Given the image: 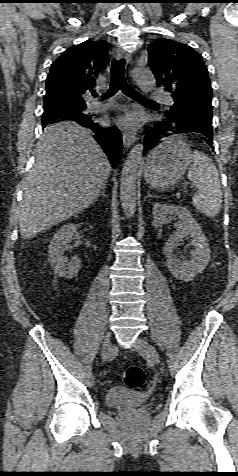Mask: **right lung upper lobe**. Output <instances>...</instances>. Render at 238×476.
<instances>
[{
	"label": "right lung upper lobe",
	"instance_id": "1",
	"mask_svg": "<svg viewBox=\"0 0 238 476\" xmlns=\"http://www.w3.org/2000/svg\"><path fill=\"white\" fill-rule=\"evenodd\" d=\"M110 47L107 41L87 40L68 48L51 66L44 102L86 105L84 94L106 68Z\"/></svg>",
	"mask_w": 238,
	"mask_h": 476
}]
</instances>
